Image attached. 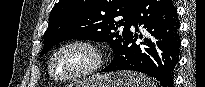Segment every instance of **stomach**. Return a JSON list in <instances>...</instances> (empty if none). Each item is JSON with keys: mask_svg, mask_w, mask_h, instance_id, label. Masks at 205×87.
<instances>
[{"mask_svg": "<svg viewBox=\"0 0 205 87\" xmlns=\"http://www.w3.org/2000/svg\"><path fill=\"white\" fill-rule=\"evenodd\" d=\"M151 87L146 76L137 72L117 71L102 73L69 87Z\"/></svg>", "mask_w": 205, "mask_h": 87, "instance_id": "stomach-1", "label": "stomach"}]
</instances>
